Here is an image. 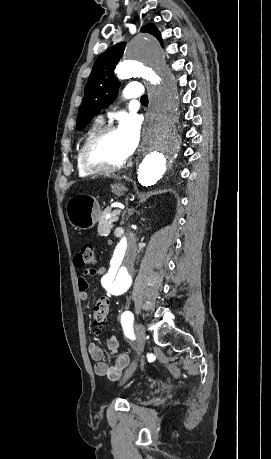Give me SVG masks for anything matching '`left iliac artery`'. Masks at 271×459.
Returning <instances> with one entry per match:
<instances>
[{
    "label": "left iliac artery",
    "instance_id": "obj_1",
    "mask_svg": "<svg viewBox=\"0 0 271 459\" xmlns=\"http://www.w3.org/2000/svg\"><path fill=\"white\" fill-rule=\"evenodd\" d=\"M134 316L130 311H125L121 316V324L123 327L122 333L124 336H131L133 333L132 325Z\"/></svg>",
    "mask_w": 271,
    "mask_h": 459
}]
</instances>
